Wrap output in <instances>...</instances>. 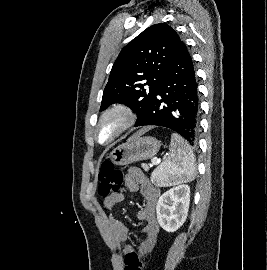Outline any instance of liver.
Listing matches in <instances>:
<instances>
[{
  "label": "liver",
  "mask_w": 267,
  "mask_h": 270,
  "mask_svg": "<svg viewBox=\"0 0 267 270\" xmlns=\"http://www.w3.org/2000/svg\"><path fill=\"white\" fill-rule=\"evenodd\" d=\"M150 128H143L141 129L139 132H137L131 139L133 138H137L139 136H141L142 134H144L145 132H147Z\"/></svg>",
  "instance_id": "6515ba94"
}]
</instances>
